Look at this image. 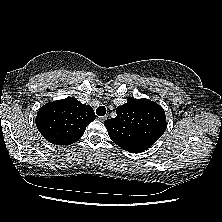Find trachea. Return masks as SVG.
<instances>
[{
	"label": "trachea",
	"mask_w": 222,
	"mask_h": 222,
	"mask_svg": "<svg viewBox=\"0 0 222 222\" xmlns=\"http://www.w3.org/2000/svg\"><path fill=\"white\" fill-rule=\"evenodd\" d=\"M96 114L98 116H104L106 114V108L104 106H99L97 109H96Z\"/></svg>",
	"instance_id": "obj_1"
}]
</instances>
